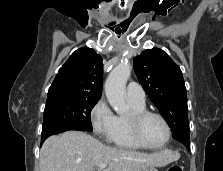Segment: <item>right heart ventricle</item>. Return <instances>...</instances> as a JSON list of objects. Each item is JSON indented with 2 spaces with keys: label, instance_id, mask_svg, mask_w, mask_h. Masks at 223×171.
<instances>
[{
  "label": "right heart ventricle",
  "instance_id": "1",
  "mask_svg": "<svg viewBox=\"0 0 223 171\" xmlns=\"http://www.w3.org/2000/svg\"><path fill=\"white\" fill-rule=\"evenodd\" d=\"M129 102L133 111H141L145 109V104H138L132 101ZM107 140L110 144L119 149L131 151L142 149V147L133 140L129 131L127 117L124 116H115V126Z\"/></svg>",
  "mask_w": 223,
  "mask_h": 171
}]
</instances>
